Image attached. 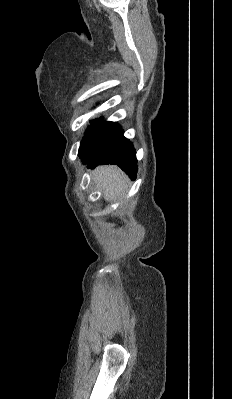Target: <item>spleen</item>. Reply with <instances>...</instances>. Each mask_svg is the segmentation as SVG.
<instances>
[{
	"mask_svg": "<svg viewBox=\"0 0 232 399\" xmlns=\"http://www.w3.org/2000/svg\"><path fill=\"white\" fill-rule=\"evenodd\" d=\"M92 180L106 201L122 200L129 188L127 176L117 166H99L93 170Z\"/></svg>",
	"mask_w": 232,
	"mask_h": 399,
	"instance_id": "3e777b00",
	"label": "spleen"
}]
</instances>
